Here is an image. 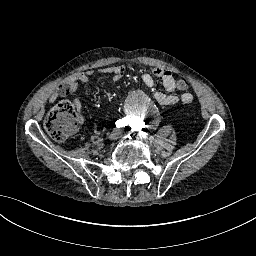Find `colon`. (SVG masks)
<instances>
[{"instance_id": "colon-1", "label": "colon", "mask_w": 256, "mask_h": 256, "mask_svg": "<svg viewBox=\"0 0 256 256\" xmlns=\"http://www.w3.org/2000/svg\"><path fill=\"white\" fill-rule=\"evenodd\" d=\"M188 88V82L186 79L181 78L178 81V89L185 91ZM61 94L70 93L72 91L71 86L68 83L61 84L59 86ZM75 108L70 101L59 102L48 114L44 127L47 134L56 141H65L71 135L74 130Z\"/></svg>"}]
</instances>
